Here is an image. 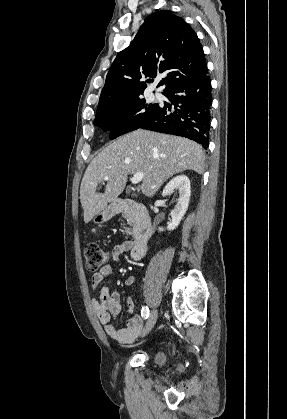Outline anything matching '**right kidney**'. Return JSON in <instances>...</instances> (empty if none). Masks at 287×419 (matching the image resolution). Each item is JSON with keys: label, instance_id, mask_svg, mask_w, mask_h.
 Returning a JSON list of instances; mask_svg holds the SVG:
<instances>
[{"label": "right kidney", "instance_id": "ca27d5eb", "mask_svg": "<svg viewBox=\"0 0 287 419\" xmlns=\"http://www.w3.org/2000/svg\"><path fill=\"white\" fill-rule=\"evenodd\" d=\"M178 190L177 204L171 211V223L167 226V230L171 231L178 227L182 217L185 215L189 200H190V180L185 175H179L174 177L163 189L162 196L165 197L170 195L174 191ZM162 227H159V231H163Z\"/></svg>", "mask_w": 287, "mask_h": 419}]
</instances>
